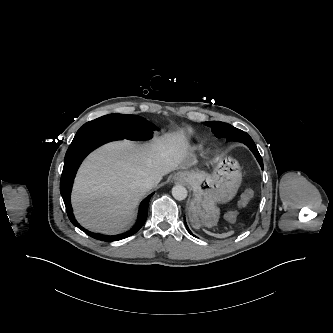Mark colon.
Here are the masks:
<instances>
[{"mask_svg": "<svg viewBox=\"0 0 333 333\" xmlns=\"http://www.w3.org/2000/svg\"><path fill=\"white\" fill-rule=\"evenodd\" d=\"M253 195H254V192L252 189L245 190L240 197L239 206L243 207V206L247 205L249 203V201L252 199ZM226 218L228 221L234 222L237 218V211L231 210V211L227 212Z\"/></svg>", "mask_w": 333, "mask_h": 333, "instance_id": "colon-1", "label": "colon"}]
</instances>
